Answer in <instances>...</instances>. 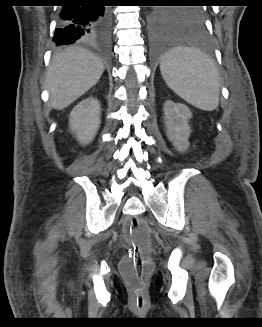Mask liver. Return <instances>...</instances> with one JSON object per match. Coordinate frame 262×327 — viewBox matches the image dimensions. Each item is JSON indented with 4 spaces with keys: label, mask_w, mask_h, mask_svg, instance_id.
<instances>
[{
    "label": "liver",
    "mask_w": 262,
    "mask_h": 327,
    "mask_svg": "<svg viewBox=\"0 0 262 327\" xmlns=\"http://www.w3.org/2000/svg\"><path fill=\"white\" fill-rule=\"evenodd\" d=\"M104 65L93 53L78 47L53 56L47 72V88L54 109L62 110L93 87Z\"/></svg>",
    "instance_id": "1"
}]
</instances>
